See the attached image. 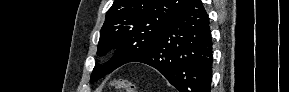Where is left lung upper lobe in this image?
<instances>
[{
  "label": "left lung upper lobe",
  "mask_w": 289,
  "mask_h": 92,
  "mask_svg": "<svg viewBox=\"0 0 289 92\" xmlns=\"http://www.w3.org/2000/svg\"><path fill=\"white\" fill-rule=\"evenodd\" d=\"M189 0H115L100 31L98 55L116 48L104 66L96 64L90 82L146 52Z\"/></svg>",
  "instance_id": "left-lung-upper-lobe-1"
}]
</instances>
